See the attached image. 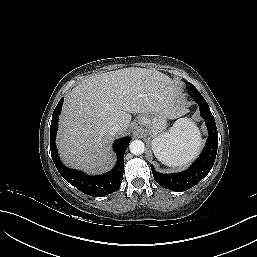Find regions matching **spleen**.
<instances>
[{
    "instance_id": "spleen-1",
    "label": "spleen",
    "mask_w": 257,
    "mask_h": 257,
    "mask_svg": "<svg viewBox=\"0 0 257 257\" xmlns=\"http://www.w3.org/2000/svg\"><path fill=\"white\" fill-rule=\"evenodd\" d=\"M202 145L198 127L188 118L178 119L168 132L152 140L156 158L167 166H184L193 160Z\"/></svg>"
}]
</instances>
